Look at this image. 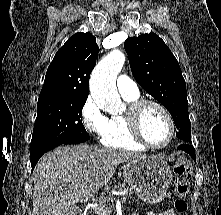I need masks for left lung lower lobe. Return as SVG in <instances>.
<instances>
[{"label":"left lung lower lobe","mask_w":221,"mask_h":215,"mask_svg":"<svg viewBox=\"0 0 221 215\" xmlns=\"http://www.w3.org/2000/svg\"><path fill=\"white\" fill-rule=\"evenodd\" d=\"M178 149L184 150L185 152H187L194 160H196L195 157V150L193 148V146L189 145V144H182L178 147Z\"/></svg>","instance_id":"left-lung-lower-lobe-1"}]
</instances>
